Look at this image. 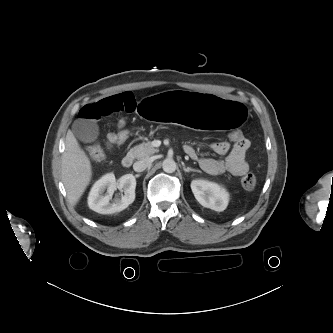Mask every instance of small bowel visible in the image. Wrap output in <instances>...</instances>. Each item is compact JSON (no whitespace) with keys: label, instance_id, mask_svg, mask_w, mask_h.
Wrapping results in <instances>:
<instances>
[{"label":"small bowel","instance_id":"1","mask_svg":"<svg viewBox=\"0 0 333 333\" xmlns=\"http://www.w3.org/2000/svg\"><path fill=\"white\" fill-rule=\"evenodd\" d=\"M136 107L137 103L133 94L123 92L83 105L79 110V116L83 121H95L114 112H134ZM124 125L125 120H120L119 127ZM107 144L109 147L116 144L114 133L107 136ZM93 146L99 145L94 144ZM211 147L218 154H226L225 159L199 158L195 149L190 145H186L184 151L190 158L198 160L200 167L211 175L229 172L235 176H243L248 171L249 165L246 161V153L250 147L248 139L244 138L232 145L225 142L214 143Z\"/></svg>","mask_w":333,"mask_h":333}]
</instances>
